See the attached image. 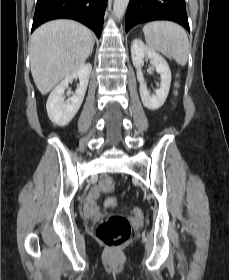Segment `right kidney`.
<instances>
[{"label":"right kidney","instance_id":"ca27d5eb","mask_svg":"<svg viewBox=\"0 0 229 280\" xmlns=\"http://www.w3.org/2000/svg\"><path fill=\"white\" fill-rule=\"evenodd\" d=\"M91 70L92 65L90 63L84 64L79 70L61 81L49 95L46 109L49 119L55 125H67L78 112L85 96ZM77 78L79 79V85L75 93L65 101V89L68 88L70 82Z\"/></svg>","mask_w":229,"mask_h":280}]
</instances>
